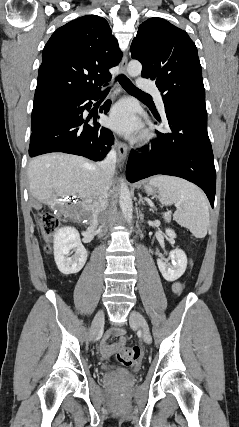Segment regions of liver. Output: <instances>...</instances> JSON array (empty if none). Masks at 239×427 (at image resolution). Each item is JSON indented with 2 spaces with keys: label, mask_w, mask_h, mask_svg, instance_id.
<instances>
[{
  "label": "liver",
  "mask_w": 239,
  "mask_h": 427,
  "mask_svg": "<svg viewBox=\"0 0 239 427\" xmlns=\"http://www.w3.org/2000/svg\"><path fill=\"white\" fill-rule=\"evenodd\" d=\"M28 180L31 196L52 210L63 212L66 207L64 199L69 196L83 199L82 208L91 213L94 222L101 182L97 164L75 155L45 154L30 161Z\"/></svg>",
  "instance_id": "1"
}]
</instances>
